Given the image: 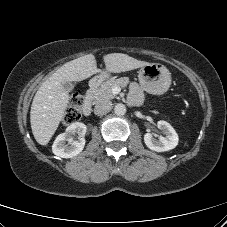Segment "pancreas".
I'll use <instances>...</instances> for the list:
<instances>
[{
    "label": "pancreas",
    "mask_w": 227,
    "mask_h": 227,
    "mask_svg": "<svg viewBox=\"0 0 227 227\" xmlns=\"http://www.w3.org/2000/svg\"><path fill=\"white\" fill-rule=\"evenodd\" d=\"M128 82L129 79L126 77L115 80H108L106 82H103V84L99 88L89 90L87 96L95 103L116 98V95L112 92V88L115 86L124 87L128 84Z\"/></svg>",
    "instance_id": "obj_1"
}]
</instances>
